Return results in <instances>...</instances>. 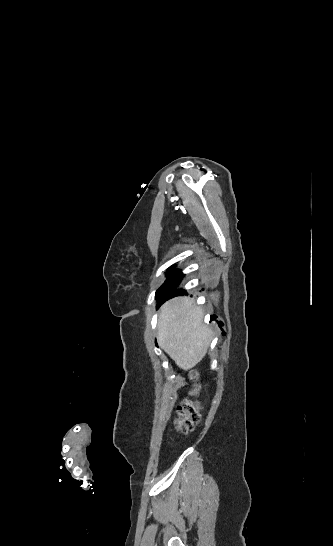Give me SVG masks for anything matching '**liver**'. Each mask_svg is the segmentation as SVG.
Returning <instances> with one entry per match:
<instances>
[{"label":"liver","instance_id":"liver-1","mask_svg":"<svg viewBox=\"0 0 333 546\" xmlns=\"http://www.w3.org/2000/svg\"><path fill=\"white\" fill-rule=\"evenodd\" d=\"M203 317L202 308L189 297L171 299L161 307L158 344L183 370L202 360L212 340V330Z\"/></svg>","mask_w":333,"mask_h":546}]
</instances>
